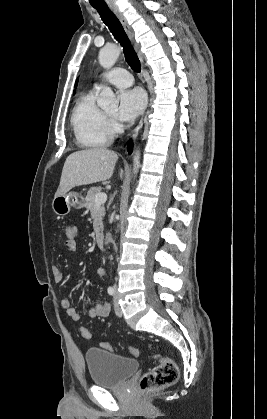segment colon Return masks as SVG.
Listing matches in <instances>:
<instances>
[{"mask_svg":"<svg viewBox=\"0 0 267 419\" xmlns=\"http://www.w3.org/2000/svg\"><path fill=\"white\" fill-rule=\"evenodd\" d=\"M65 244L77 245V229L75 226L68 224L63 229ZM83 338L89 339L90 331L83 327L80 329ZM103 348L113 351L114 346L111 343L104 342ZM129 352L133 356H138V350L135 347H129ZM154 359L158 362L156 366L147 371L139 381V387L142 391L160 389L175 384L179 378V367L175 361L161 354H155Z\"/></svg>","mask_w":267,"mask_h":419,"instance_id":"obj_1","label":"colon"}]
</instances>
